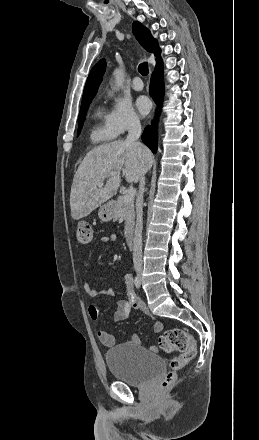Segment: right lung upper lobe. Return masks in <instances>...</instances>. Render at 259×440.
I'll return each mask as SVG.
<instances>
[{
	"label": "right lung upper lobe",
	"mask_w": 259,
	"mask_h": 440,
	"mask_svg": "<svg viewBox=\"0 0 259 440\" xmlns=\"http://www.w3.org/2000/svg\"><path fill=\"white\" fill-rule=\"evenodd\" d=\"M133 33L137 37V40L142 45V47L148 52L154 53V55L157 57V62H159L161 60L160 48L158 47L156 40L152 37L149 29L143 26L140 22L135 21L133 23ZM105 69V59H101L92 68L84 88L82 101L94 98L102 81Z\"/></svg>",
	"instance_id": "1"
}]
</instances>
